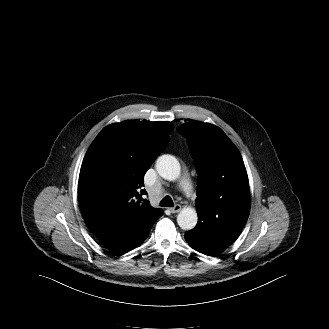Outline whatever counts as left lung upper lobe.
Instances as JSON below:
<instances>
[{"label": "left lung upper lobe", "mask_w": 329, "mask_h": 329, "mask_svg": "<svg viewBox=\"0 0 329 329\" xmlns=\"http://www.w3.org/2000/svg\"><path fill=\"white\" fill-rule=\"evenodd\" d=\"M177 131L187 138L198 173V224L193 230L213 237L227 224L242 228L249 216L250 193L238 149L220 128L208 123L188 122Z\"/></svg>", "instance_id": "1"}]
</instances>
